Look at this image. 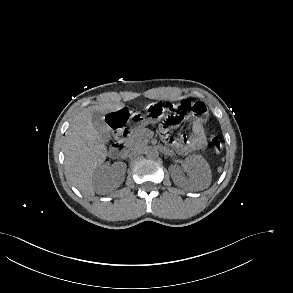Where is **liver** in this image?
Here are the masks:
<instances>
[{
    "mask_svg": "<svg viewBox=\"0 0 293 293\" xmlns=\"http://www.w3.org/2000/svg\"><path fill=\"white\" fill-rule=\"evenodd\" d=\"M101 109L102 106L94 105L79 113L64 140L66 178L87 196L94 195V172L108 156L105 142L92 122L93 112Z\"/></svg>",
    "mask_w": 293,
    "mask_h": 293,
    "instance_id": "liver-1",
    "label": "liver"
}]
</instances>
